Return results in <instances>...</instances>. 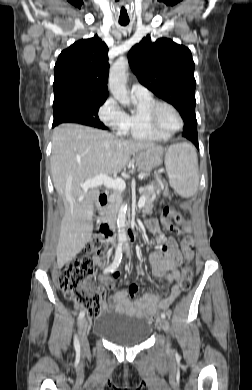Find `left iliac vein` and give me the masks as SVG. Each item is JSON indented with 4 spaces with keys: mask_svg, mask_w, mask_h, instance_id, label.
Masks as SVG:
<instances>
[{
    "mask_svg": "<svg viewBox=\"0 0 252 390\" xmlns=\"http://www.w3.org/2000/svg\"><path fill=\"white\" fill-rule=\"evenodd\" d=\"M158 323L162 330H164L166 333H169V322L165 318L159 319Z\"/></svg>",
    "mask_w": 252,
    "mask_h": 390,
    "instance_id": "4c4485c4",
    "label": "left iliac vein"
}]
</instances>
